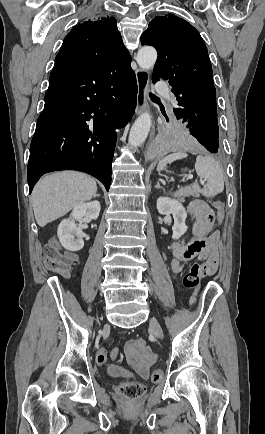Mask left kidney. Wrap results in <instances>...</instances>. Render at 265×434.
I'll list each match as a JSON object with an SVG mask.
<instances>
[{"mask_svg":"<svg viewBox=\"0 0 265 434\" xmlns=\"http://www.w3.org/2000/svg\"><path fill=\"white\" fill-rule=\"evenodd\" d=\"M157 210L162 216L166 214H172L174 218L173 230V240H179L185 232H187V226L185 220L187 218V212L183 208L182 204L178 200H171V198H158L157 200Z\"/></svg>","mask_w":265,"mask_h":434,"instance_id":"left-kidney-1","label":"left kidney"}]
</instances>
